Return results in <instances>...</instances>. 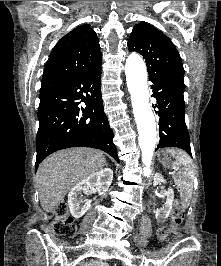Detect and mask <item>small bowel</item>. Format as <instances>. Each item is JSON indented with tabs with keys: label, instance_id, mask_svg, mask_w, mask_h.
<instances>
[{
	"label": "small bowel",
	"instance_id": "small-bowel-1",
	"mask_svg": "<svg viewBox=\"0 0 221 266\" xmlns=\"http://www.w3.org/2000/svg\"><path fill=\"white\" fill-rule=\"evenodd\" d=\"M91 266H109V264L102 262V261H97L91 264Z\"/></svg>",
	"mask_w": 221,
	"mask_h": 266
}]
</instances>
